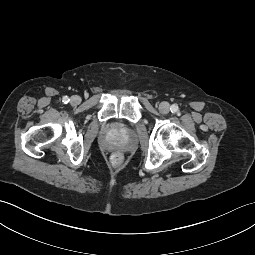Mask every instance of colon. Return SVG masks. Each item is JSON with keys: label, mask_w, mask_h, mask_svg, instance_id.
<instances>
[{"label": "colon", "mask_w": 255, "mask_h": 255, "mask_svg": "<svg viewBox=\"0 0 255 255\" xmlns=\"http://www.w3.org/2000/svg\"><path fill=\"white\" fill-rule=\"evenodd\" d=\"M110 162L114 167H119L123 163V156L120 153L115 152L111 155Z\"/></svg>", "instance_id": "5ec220e1"}]
</instances>
